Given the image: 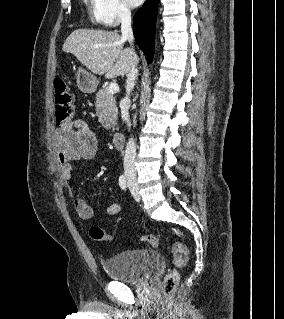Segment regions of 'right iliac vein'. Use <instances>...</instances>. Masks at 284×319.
<instances>
[{
    "label": "right iliac vein",
    "mask_w": 284,
    "mask_h": 319,
    "mask_svg": "<svg viewBox=\"0 0 284 319\" xmlns=\"http://www.w3.org/2000/svg\"><path fill=\"white\" fill-rule=\"evenodd\" d=\"M125 176H126L127 183H128V186H129L132 194L134 195V197L136 199H139L140 198L139 186L137 184L136 177H135L134 173L131 171H126Z\"/></svg>",
    "instance_id": "1"
}]
</instances>
